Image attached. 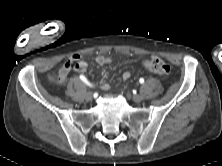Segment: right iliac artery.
I'll return each instance as SVG.
<instances>
[{
    "mask_svg": "<svg viewBox=\"0 0 222 166\" xmlns=\"http://www.w3.org/2000/svg\"><path fill=\"white\" fill-rule=\"evenodd\" d=\"M80 79L88 86L91 87V84L88 82V80L86 79V77L84 75H80Z\"/></svg>",
    "mask_w": 222,
    "mask_h": 166,
    "instance_id": "obj_1",
    "label": "right iliac artery"
}]
</instances>
